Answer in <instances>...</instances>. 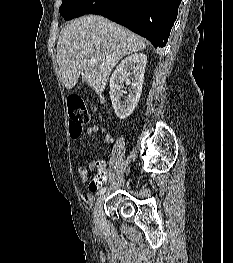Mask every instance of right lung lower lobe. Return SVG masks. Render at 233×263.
<instances>
[{
    "label": "right lung lower lobe",
    "mask_w": 233,
    "mask_h": 263,
    "mask_svg": "<svg viewBox=\"0 0 233 263\" xmlns=\"http://www.w3.org/2000/svg\"><path fill=\"white\" fill-rule=\"evenodd\" d=\"M181 0H121L92 14L102 15L164 47L177 18Z\"/></svg>",
    "instance_id": "98d812e1"
}]
</instances>
